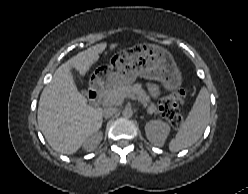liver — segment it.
<instances>
[{"instance_id":"6515ba94","label":"liver","mask_w":248,"mask_h":194,"mask_svg":"<svg viewBox=\"0 0 248 194\" xmlns=\"http://www.w3.org/2000/svg\"><path fill=\"white\" fill-rule=\"evenodd\" d=\"M106 46V43L97 44L63 63L41 93L37 115L39 128L57 152L74 154L102 126V109L87 104L86 97L74 83L71 69L84 76ZM117 46L111 44L110 50Z\"/></svg>"}]
</instances>
